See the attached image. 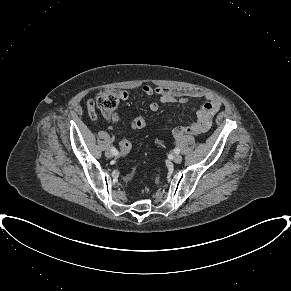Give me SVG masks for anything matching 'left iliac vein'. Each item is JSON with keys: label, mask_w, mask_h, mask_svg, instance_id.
Listing matches in <instances>:
<instances>
[{"label": "left iliac vein", "mask_w": 291, "mask_h": 291, "mask_svg": "<svg viewBox=\"0 0 291 291\" xmlns=\"http://www.w3.org/2000/svg\"><path fill=\"white\" fill-rule=\"evenodd\" d=\"M173 162L180 163L182 161V156L179 154H175L172 158Z\"/></svg>", "instance_id": "1"}]
</instances>
